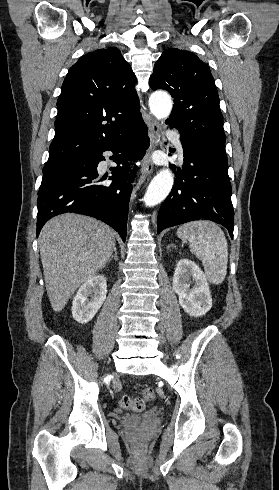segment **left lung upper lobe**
<instances>
[{
	"label": "left lung upper lobe",
	"mask_w": 279,
	"mask_h": 490,
	"mask_svg": "<svg viewBox=\"0 0 279 490\" xmlns=\"http://www.w3.org/2000/svg\"><path fill=\"white\" fill-rule=\"evenodd\" d=\"M149 83L153 90L165 89L174 98L167 124L185 136L202 138L224 148L223 115L208 65L192 52L169 48L156 62Z\"/></svg>",
	"instance_id": "5c2ea615"
}]
</instances>
